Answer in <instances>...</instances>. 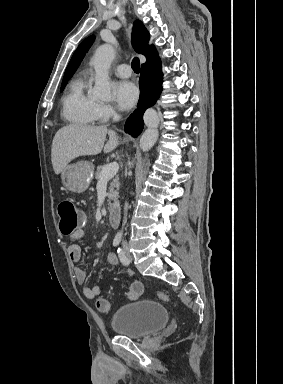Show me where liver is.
<instances>
[{
  "instance_id": "obj_1",
  "label": "liver",
  "mask_w": 283,
  "mask_h": 384,
  "mask_svg": "<svg viewBox=\"0 0 283 384\" xmlns=\"http://www.w3.org/2000/svg\"><path fill=\"white\" fill-rule=\"evenodd\" d=\"M109 136L104 146L106 136ZM121 138L114 130L106 126H87V124H70L58 130L52 142L51 162L55 174H60L69 162L79 156H97L113 152L119 146Z\"/></svg>"
}]
</instances>
